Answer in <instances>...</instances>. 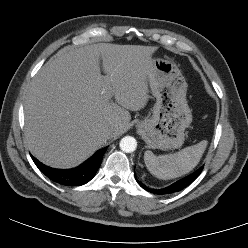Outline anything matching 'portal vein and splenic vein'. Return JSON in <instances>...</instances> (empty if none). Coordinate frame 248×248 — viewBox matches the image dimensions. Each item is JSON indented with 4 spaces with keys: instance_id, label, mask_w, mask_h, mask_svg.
Returning <instances> with one entry per match:
<instances>
[{
    "instance_id": "obj_1",
    "label": "portal vein and splenic vein",
    "mask_w": 248,
    "mask_h": 248,
    "mask_svg": "<svg viewBox=\"0 0 248 248\" xmlns=\"http://www.w3.org/2000/svg\"><path fill=\"white\" fill-rule=\"evenodd\" d=\"M106 92H110V86H105V89H104Z\"/></svg>"
}]
</instances>
